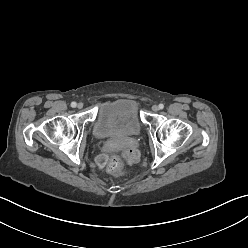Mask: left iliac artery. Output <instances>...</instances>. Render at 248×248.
<instances>
[{"mask_svg":"<svg viewBox=\"0 0 248 248\" xmlns=\"http://www.w3.org/2000/svg\"><path fill=\"white\" fill-rule=\"evenodd\" d=\"M159 108L160 109H163L164 108V105L161 103V104H159Z\"/></svg>","mask_w":248,"mask_h":248,"instance_id":"obj_1","label":"left iliac artery"}]
</instances>
